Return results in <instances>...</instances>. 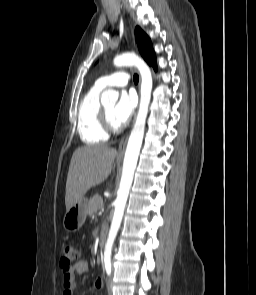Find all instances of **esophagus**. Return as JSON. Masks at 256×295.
<instances>
[{
	"instance_id": "34e87169",
	"label": "esophagus",
	"mask_w": 256,
	"mask_h": 295,
	"mask_svg": "<svg viewBox=\"0 0 256 295\" xmlns=\"http://www.w3.org/2000/svg\"><path fill=\"white\" fill-rule=\"evenodd\" d=\"M135 118H134V120H135ZM128 137H129V134H126L120 140L119 147H118V154H117L118 157H123L124 156L126 144H127V141H128Z\"/></svg>"
}]
</instances>
